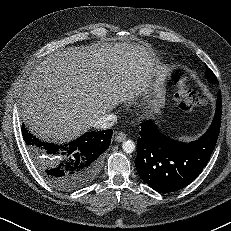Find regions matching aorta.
Here are the masks:
<instances>
[{
  "label": "aorta",
  "instance_id": "762f6f07",
  "mask_svg": "<svg viewBox=\"0 0 231 231\" xmlns=\"http://www.w3.org/2000/svg\"><path fill=\"white\" fill-rule=\"evenodd\" d=\"M122 149L126 153H132L135 150V143L132 140H126L122 144Z\"/></svg>",
  "mask_w": 231,
  "mask_h": 231
}]
</instances>
